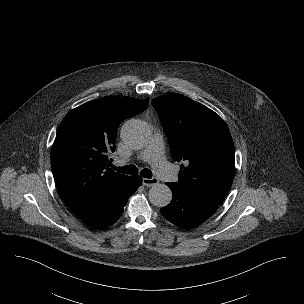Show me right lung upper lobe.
Wrapping results in <instances>:
<instances>
[{"label":"right lung upper lobe","instance_id":"1","mask_svg":"<svg viewBox=\"0 0 304 304\" xmlns=\"http://www.w3.org/2000/svg\"><path fill=\"white\" fill-rule=\"evenodd\" d=\"M148 105L149 98L103 97L73 109L61 122L51 167L63 201L79 218L92 212L127 177L110 168L117 128Z\"/></svg>","mask_w":304,"mask_h":304}]
</instances>
